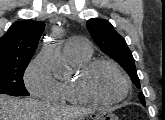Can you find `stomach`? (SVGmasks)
Returning a JSON list of instances; mask_svg holds the SVG:
<instances>
[{
    "label": "stomach",
    "mask_w": 165,
    "mask_h": 120,
    "mask_svg": "<svg viewBox=\"0 0 165 120\" xmlns=\"http://www.w3.org/2000/svg\"><path fill=\"white\" fill-rule=\"evenodd\" d=\"M119 120L118 117L107 111L92 110L86 113L80 120Z\"/></svg>",
    "instance_id": "stomach-1"
}]
</instances>
